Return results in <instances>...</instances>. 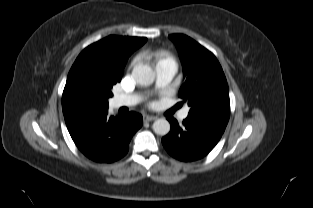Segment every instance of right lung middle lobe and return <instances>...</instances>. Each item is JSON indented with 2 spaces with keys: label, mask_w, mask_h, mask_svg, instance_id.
Here are the masks:
<instances>
[{
  "label": "right lung middle lobe",
  "mask_w": 313,
  "mask_h": 208,
  "mask_svg": "<svg viewBox=\"0 0 313 208\" xmlns=\"http://www.w3.org/2000/svg\"><path fill=\"white\" fill-rule=\"evenodd\" d=\"M121 79L102 78L84 80L77 84L75 92L79 102L93 106H108V98L113 96L111 88Z\"/></svg>",
  "instance_id": "obj_1"
}]
</instances>
